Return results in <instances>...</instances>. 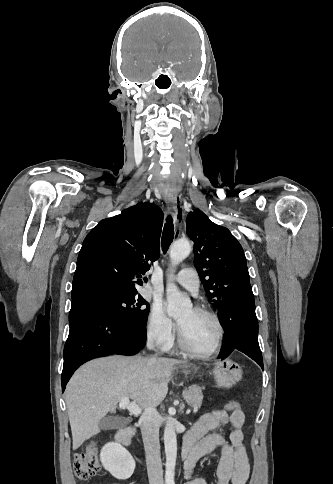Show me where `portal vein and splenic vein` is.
Returning <instances> with one entry per match:
<instances>
[{
  "label": "portal vein and splenic vein",
  "mask_w": 333,
  "mask_h": 484,
  "mask_svg": "<svg viewBox=\"0 0 333 484\" xmlns=\"http://www.w3.org/2000/svg\"><path fill=\"white\" fill-rule=\"evenodd\" d=\"M119 407L121 409H127L133 415H139L142 411L139 406H137L133 402H130L128 397L121 399V401L119 402Z\"/></svg>",
  "instance_id": "obj_1"
}]
</instances>
